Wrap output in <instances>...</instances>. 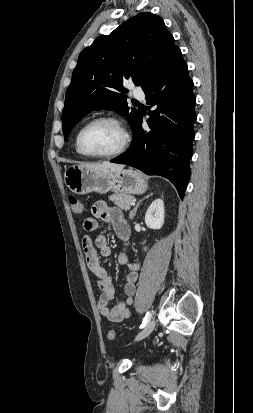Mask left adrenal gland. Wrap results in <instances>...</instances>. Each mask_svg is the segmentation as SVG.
<instances>
[{
    "label": "left adrenal gland",
    "instance_id": "a2214340",
    "mask_svg": "<svg viewBox=\"0 0 253 413\" xmlns=\"http://www.w3.org/2000/svg\"><path fill=\"white\" fill-rule=\"evenodd\" d=\"M153 193H150L149 195L145 196L144 198H142L141 200H139V202L136 204V206L134 207V209L130 212V219H133L134 216L136 215L137 209L139 207V205L141 204V202L143 200H145L146 198H149L150 196H152Z\"/></svg>",
    "mask_w": 253,
    "mask_h": 413
}]
</instances>
